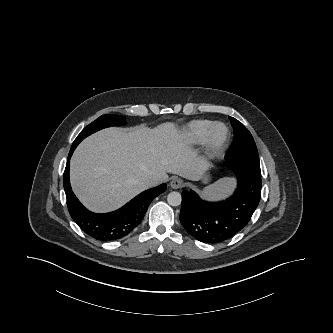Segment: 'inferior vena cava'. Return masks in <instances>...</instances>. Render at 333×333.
Listing matches in <instances>:
<instances>
[{"mask_svg":"<svg viewBox=\"0 0 333 333\" xmlns=\"http://www.w3.org/2000/svg\"><path fill=\"white\" fill-rule=\"evenodd\" d=\"M145 181L148 185H154L156 183V179L153 177L147 178Z\"/></svg>","mask_w":333,"mask_h":333,"instance_id":"602c4592","label":"inferior vena cava"}]
</instances>
